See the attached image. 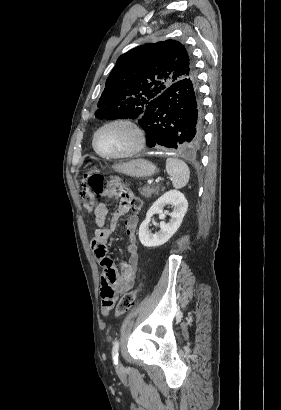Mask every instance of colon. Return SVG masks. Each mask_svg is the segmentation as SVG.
<instances>
[{
  "label": "colon",
  "instance_id": "obj_1",
  "mask_svg": "<svg viewBox=\"0 0 281 410\" xmlns=\"http://www.w3.org/2000/svg\"><path fill=\"white\" fill-rule=\"evenodd\" d=\"M84 187L81 192V198L83 205L86 209H91L94 205L95 198L98 195H101L105 189V180L101 174L96 171H89L83 176ZM118 191L124 192L122 187L117 188ZM125 193V192H124ZM141 290L139 285L136 289L124 294L118 301L115 309L116 316H121L127 313L132 306L134 305L138 294ZM113 306L111 297L108 296V299L105 300L102 304V307L105 310H109Z\"/></svg>",
  "mask_w": 281,
  "mask_h": 410
}]
</instances>
